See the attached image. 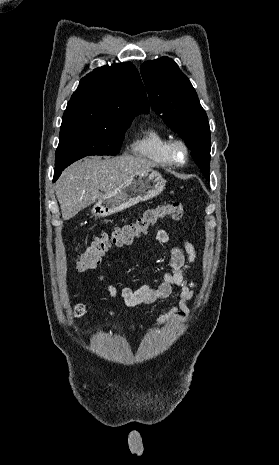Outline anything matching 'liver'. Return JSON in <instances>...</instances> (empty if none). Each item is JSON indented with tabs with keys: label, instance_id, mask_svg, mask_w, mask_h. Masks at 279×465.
I'll return each mask as SVG.
<instances>
[{
	"label": "liver",
	"instance_id": "6515ba94",
	"mask_svg": "<svg viewBox=\"0 0 279 465\" xmlns=\"http://www.w3.org/2000/svg\"><path fill=\"white\" fill-rule=\"evenodd\" d=\"M153 163L143 157L91 156L66 168L56 182V196L62 217L69 220L78 212L116 190L133 175L148 171Z\"/></svg>",
	"mask_w": 279,
	"mask_h": 465
}]
</instances>
